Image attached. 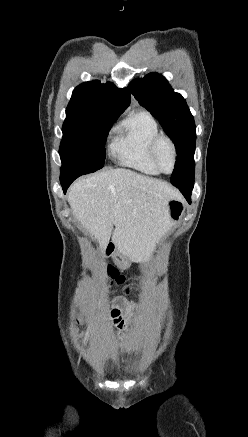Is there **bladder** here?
Returning a JSON list of instances; mask_svg holds the SVG:
<instances>
[{
	"instance_id": "bladder-1",
	"label": "bladder",
	"mask_w": 248,
	"mask_h": 437,
	"mask_svg": "<svg viewBox=\"0 0 248 437\" xmlns=\"http://www.w3.org/2000/svg\"><path fill=\"white\" fill-rule=\"evenodd\" d=\"M116 373L117 374L128 375V374H133L134 370L132 368H130V367L124 366V367H121V368L117 369Z\"/></svg>"
}]
</instances>
